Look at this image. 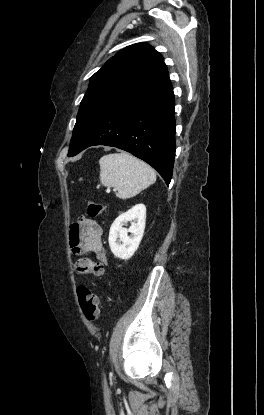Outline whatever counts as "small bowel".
<instances>
[{
  "label": "small bowel",
  "instance_id": "small-bowel-1",
  "mask_svg": "<svg viewBox=\"0 0 264 415\" xmlns=\"http://www.w3.org/2000/svg\"><path fill=\"white\" fill-rule=\"evenodd\" d=\"M102 228L92 219L81 218L72 224L69 241L72 247L80 255H94L99 261L101 271L103 272V265L107 262V256L102 243Z\"/></svg>",
  "mask_w": 264,
  "mask_h": 415
}]
</instances>
